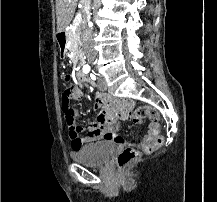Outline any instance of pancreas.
Masks as SVG:
<instances>
[{"label": "pancreas", "instance_id": "cf45deb5", "mask_svg": "<svg viewBox=\"0 0 217 202\" xmlns=\"http://www.w3.org/2000/svg\"><path fill=\"white\" fill-rule=\"evenodd\" d=\"M71 52H73V60H78V36L77 34H70Z\"/></svg>", "mask_w": 217, "mask_h": 202}]
</instances>
